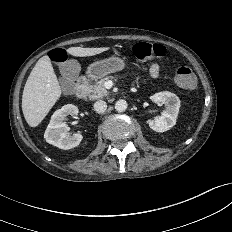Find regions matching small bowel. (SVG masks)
<instances>
[{
	"instance_id": "small-bowel-1",
	"label": "small bowel",
	"mask_w": 232,
	"mask_h": 232,
	"mask_svg": "<svg viewBox=\"0 0 232 232\" xmlns=\"http://www.w3.org/2000/svg\"><path fill=\"white\" fill-rule=\"evenodd\" d=\"M159 74H160V64L157 62H153L149 68V75L152 78H158Z\"/></svg>"
}]
</instances>
